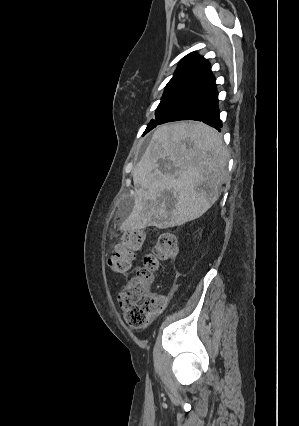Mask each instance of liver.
<instances>
[{"instance_id":"1","label":"liver","mask_w":299,"mask_h":426,"mask_svg":"<svg viewBox=\"0 0 299 426\" xmlns=\"http://www.w3.org/2000/svg\"><path fill=\"white\" fill-rule=\"evenodd\" d=\"M228 159L212 127L188 121L161 125L132 172L134 206L120 229H164L199 218L218 199Z\"/></svg>"}]
</instances>
